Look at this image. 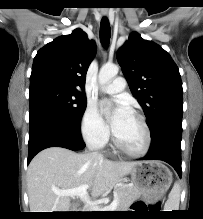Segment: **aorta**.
Segmentation results:
<instances>
[{
  "instance_id": "aorta-1",
  "label": "aorta",
  "mask_w": 203,
  "mask_h": 219,
  "mask_svg": "<svg viewBox=\"0 0 203 219\" xmlns=\"http://www.w3.org/2000/svg\"><path fill=\"white\" fill-rule=\"evenodd\" d=\"M119 72V67L117 65H104L99 71L98 81L100 85H105L109 83Z\"/></svg>"
}]
</instances>
